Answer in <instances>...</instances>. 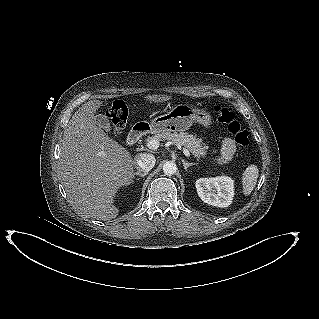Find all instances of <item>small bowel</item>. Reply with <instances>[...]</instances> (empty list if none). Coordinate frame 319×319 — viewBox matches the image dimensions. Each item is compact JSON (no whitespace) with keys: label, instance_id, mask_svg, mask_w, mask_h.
Returning a JSON list of instances; mask_svg holds the SVG:
<instances>
[{"label":"small bowel","instance_id":"small-bowel-1","mask_svg":"<svg viewBox=\"0 0 319 319\" xmlns=\"http://www.w3.org/2000/svg\"><path fill=\"white\" fill-rule=\"evenodd\" d=\"M235 151V142L233 141V139L227 137L222 141L220 153L216 157L215 161L219 164H225L233 158Z\"/></svg>","mask_w":319,"mask_h":319}]
</instances>
